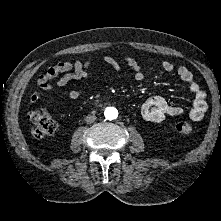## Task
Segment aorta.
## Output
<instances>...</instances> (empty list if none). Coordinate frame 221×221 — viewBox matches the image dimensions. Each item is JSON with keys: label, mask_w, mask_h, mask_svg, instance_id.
<instances>
[{"label": "aorta", "mask_w": 221, "mask_h": 221, "mask_svg": "<svg viewBox=\"0 0 221 221\" xmlns=\"http://www.w3.org/2000/svg\"><path fill=\"white\" fill-rule=\"evenodd\" d=\"M104 116L108 120H114L118 117V110L115 107H107L104 111Z\"/></svg>", "instance_id": "762f6f07"}]
</instances>
